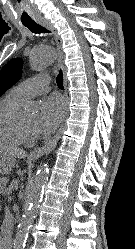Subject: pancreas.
<instances>
[{"label":"pancreas","mask_w":135,"mask_h":249,"mask_svg":"<svg viewBox=\"0 0 135 249\" xmlns=\"http://www.w3.org/2000/svg\"><path fill=\"white\" fill-rule=\"evenodd\" d=\"M17 181H13L11 184H10V186H9V188H6L5 186H0V192L1 193H6L7 191H8V189H11V188H14V187H16L17 186Z\"/></svg>","instance_id":"cf45deb5"}]
</instances>
